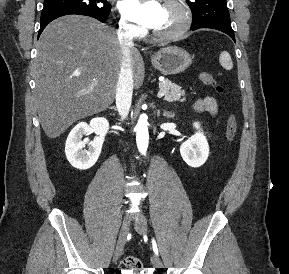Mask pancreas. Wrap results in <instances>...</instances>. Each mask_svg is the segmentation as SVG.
Segmentation results:
<instances>
[{"instance_id": "cf45deb5", "label": "pancreas", "mask_w": 289, "mask_h": 274, "mask_svg": "<svg viewBox=\"0 0 289 274\" xmlns=\"http://www.w3.org/2000/svg\"><path fill=\"white\" fill-rule=\"evenodd\" d=\"M159 89L161 92H164V99L166 101H185V98L181 99L185 95L184 90L175 83H172L170 80L165 79L159 83Z\"/></svg>"}]
</instances>
